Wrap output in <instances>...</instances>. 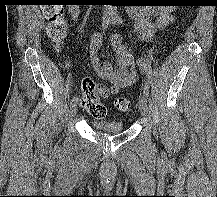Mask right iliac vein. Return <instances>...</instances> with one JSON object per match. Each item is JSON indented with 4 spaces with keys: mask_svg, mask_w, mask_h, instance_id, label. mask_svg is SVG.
I'll list each match as a JSON object with an SVG mask.
<instances>
[{
    "mask_svg": "<svg viewBox=\"0 0 217 197\" xmlns=\"http://www.w3.org/2000/svg\"><path fill=\"white\" fill-rule=\"evenodd\" d=\"M77 111V102L71 105L70 108V116L73 117Z\"/></svg>",
    "mask_w": 217,
    "mask_h": 197,
    "instance_id": "1",
    "label": "right iliac vein"
}]
</instances>
